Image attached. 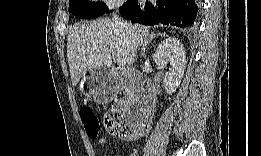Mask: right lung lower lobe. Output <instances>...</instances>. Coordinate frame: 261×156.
<instances>
[{
  "label": "right lung lower lobe",
  "mask_w": 261,
  "mask_h": 156,
  "mask_svg": "<svg viewBox=\"0 0 261 156\" xmlns=\"http://www.w3.org/2000/svg\"><path fill=\"white\" fill-rule=\"evenodd\" d=\"M122 17L144 25H194L198 12L196 0H158L155 3L128 0L119 8ZM107 13V12H106Z\"/></svg>",
  "instance_id": "98d812e1"
}]
</instances>
